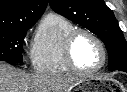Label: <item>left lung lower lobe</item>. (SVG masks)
<instances>
[{
	"label": "left lung lower lobe",
	"instance_id": "1",
	"mask_svg": "<svg viewBox=\"0 0 127 92\" xmlns=\"http://www.w3.org/2000/svg\"><path fill=\"white\" fill-rule=\"evenodd\" d=\"M120 71H124V72H127V69H122V70H120Z\"/></svg>",
	"mask_w": 127,
	"mask_h": 92
}]
</instances>
